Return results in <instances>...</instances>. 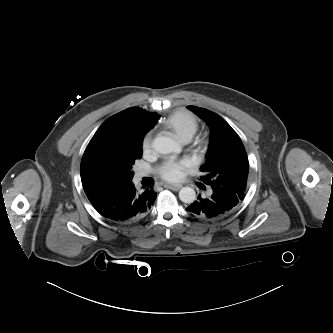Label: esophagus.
<instances>
[{
	"mask_svg": "<svg viewBox=\"0 0 333 333\" xmlns=\"http://www.w3.org/2000/svg\"><path fill=\"white\" fill-rule=\"evenodd\" d=\"M166 188L174 190V191H178L180 188H182V185L180 184H166L165 185Z\"/></svg>",
	"mask_w": 333,
	"mask_h": 333,
	"instance_id": "esophagus-1",
	"label": "esophagus"
}]
</instances>
